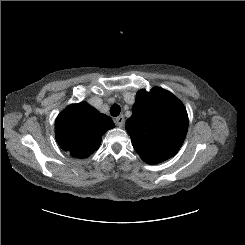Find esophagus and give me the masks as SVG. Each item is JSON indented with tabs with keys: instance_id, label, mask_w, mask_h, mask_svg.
I'll use <instances>...</instances> for the list:
<instances>
[{
	"instance_id": "1",
	"label": "esophagus",
	"mask_w": 245,
	"mask_h": 245,
	"mask_svg": "<svg viewBox=\"0 0 245 245\" xmlns=\"http://www.w3.org/2000/svg\"><path fill=\"white\" fill-rule=\"evenodd\" d=\"M114 122L118 127H123L125 124V118L123 115L118 116L114 119Z\"/></svg>"
}]
</instances>
